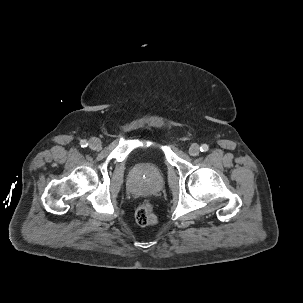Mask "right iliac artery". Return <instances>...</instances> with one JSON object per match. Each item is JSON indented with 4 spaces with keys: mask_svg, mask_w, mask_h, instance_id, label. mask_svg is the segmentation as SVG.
Instances as JSON below:
<instances>
[{
    "mask_svg": "<svg viewBox=\"0 0 303 303\" xmlns=\"http://www.w3.org/2000/svg\"><path fill=\"white\" fill-rule=\"evenodd\" d=\"M80 145H81V147H87V145H88V142L86 141V140H81V142H80Z\"/></svg>",
    "mask_w": 303,
    "mask_h": 303,
    "instance_id": "obj_1",
    "label": "right iliac artery"
}]
</instances>
